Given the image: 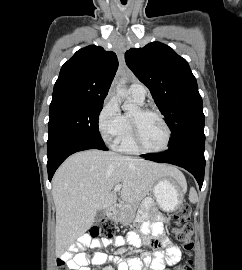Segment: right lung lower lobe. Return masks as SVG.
Masks as SVG:
<instances>
[{
	"label": "right lung lower lobe",
	"mask_w": 242,
	"mask_h": 270,
	"mask_svg": "<svg viewBox=\"0 0 242 270\" xmlns=\"http://www.w3.org/2000/svg\"><path fill=\"white\" fill-rule=\"evenodd\" d=\"M87 149L108 150L105 144L94 143L89 140H68L61 142L48 150L47 170L49 180L51 181L56 169L68 156L77 151Z\"/></svg>",
	"instance_id": "obj_1"
}]
</instances>
